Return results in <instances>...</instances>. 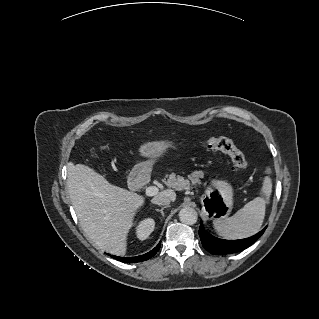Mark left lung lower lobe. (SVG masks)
<instances>
[{"label":"left lung lower lobe","mask_w":319,"mask_h":319,"mask_svg":"<svg viewBox=\"0 0 319 319\" xmlns=\"http://www.w3.org/2000/svg\"><path fill=\"white\" fill-rule=\"evenodd\" d=\"M206 200L208 202L212 201L208 199ZM265 229L266 228H264L262 231H260L256 235L246 239L224 240V239H219L217 237H214L210 233L205 231L201 223L199 227V236H200L203 247L208 252L214 255H225V254L239 252L248 248L264 233Z\"/></svg>","instance_id":"obj_1"}]
</instances>
